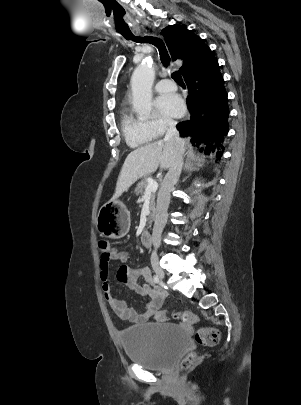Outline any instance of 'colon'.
Returning <instances> with one entry per match:
<instances>
[{"instance_id":"obj_1","label":"colon","mask_w":301,"mask_h":405,"mask_svg":"<svg viewBox=\"0 0 301 405\" xmlns=\"http://www.w3.org/2000/svg\"><path fill=\"white\" fill-rule=\"evenodd\" d=\"M98 245L102 255L107 257L110 252L109 243L106 240H100ZM168 317L169 314L166 310H159L155 314V318L158 321H166ZM172 317L174 319L180 320L181 322L187 325H194L198 322V317L195 314L187 311L174 312L172 314ZM195 339L197 343L200 345L214 346L219 342L220 335L216 329L200 328L195 334ZM195 360L196 355L194 353H189L188 355H186L181 362L182 370L184 371L189 370L194 365Z\"/></svg>"}]
</instances>
